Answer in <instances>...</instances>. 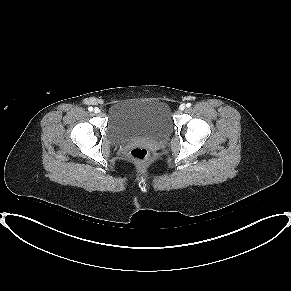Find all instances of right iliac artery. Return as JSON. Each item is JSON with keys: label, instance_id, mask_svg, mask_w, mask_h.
<instances>
[{"label": "right iliac artery", "instance_id": "obj_1", "mask_svg": "<svg viewBox=\"0 0 291 291\" xmlns=\"http://www.w3.org/2000/svg\"><path fill=\"white\" fill-rule=\"evenodd\" d=\"M88 110L91 112L93 111V107H88Z\"/></svg>", "mask_w": 291, "mask_h": 291}]
</instances>
